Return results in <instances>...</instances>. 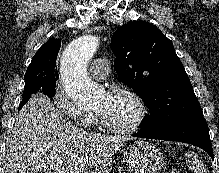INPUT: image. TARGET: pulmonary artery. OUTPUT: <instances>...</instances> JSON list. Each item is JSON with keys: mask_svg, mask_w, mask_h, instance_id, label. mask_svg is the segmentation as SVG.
I'll list each match as a JSON object with an SVG mask.
<instances>
[{"mask_svg": "<svg viewBox=\"0 0 219 173\" xmlns=\"http://www.w3.org/2000/svg\"><path fill=\"white\" fill-rule=\"evenodd\" d=\"M109 72V62L104 57L95 58L89 68V73L94 79H104Z\"/></svg>", "mask_w": 219, "mask_h": 173, "instance_id": "pulmonary-artery-1", "label": "pulmonary artery"}]
</instances>
